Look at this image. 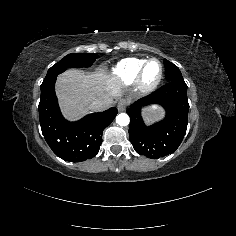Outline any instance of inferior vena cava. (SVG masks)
<instances>
[{
	"instance_id": "obj_1",
	"label": "inferior vena cava",
	"mask_w": 236,
	"mask_h": 236,
	"mask_svg": "<svg viewBox=\"0 0 236 236\" xmlns=\"http://www.w3.org/2000/svg\"><path fill=\"white\" fill-rule=\"evenodd\" d=\"M103 107V102L100 100H93L89 105L88 108L91 111H98Z\"/></svg>"
}]
</instances>
